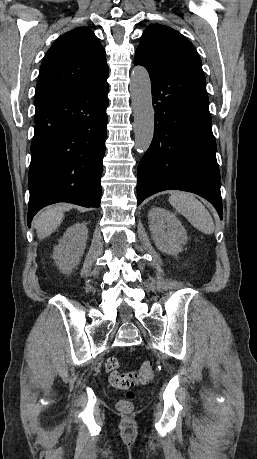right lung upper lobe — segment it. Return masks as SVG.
I'll use <instances>...</instances> for the list:
<instances>
[{
  "instance_id": "cb5924a9",
  "label": "right lung upper lobe",
  "mask_w": 257,
  "mask_h": 459,
  "mask_svg": "<svg viewBox=\"0 0 257 459\" xmlns=\"http://www.w3.org/2000/svg\"><path fill=\"white\" fill-rule=\"evenodd\" d=\"M105 50L94 33L80 27L60 36L40 66L36 100L78 91L108 77Z\"/></svg>"
}]
</instances>
